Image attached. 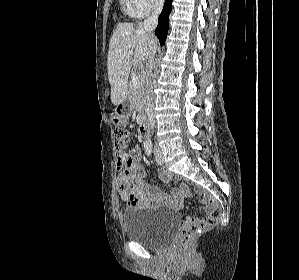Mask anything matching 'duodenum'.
Returning <instances> with one entry per match:
<instances>
[{
    "mask_svg": "<svg viewBox=\"0 0 299 280\" xmlns=\"http://www.w3.org/2000/svg\"><path fill=\"white\" fill-rule=\"evenodd\" d=\"M148 129H149L148 121L144 119L139 128V135L141 138H145L147 136Z\"/></svg>",
    "mask_w": 299,
    "mask_h": 280,
    "instance_id": "obj_1",
    "label": "duodenum"
}]
</instances>
